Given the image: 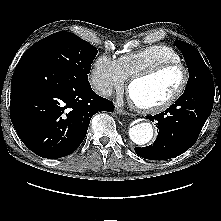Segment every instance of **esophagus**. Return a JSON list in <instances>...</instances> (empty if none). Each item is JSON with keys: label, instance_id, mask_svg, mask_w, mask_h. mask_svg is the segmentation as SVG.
Listing matches in <instances>:
<instances>
[{"label": "esophagus", "instance_id": "obj_1", "mask_svg": "<svg viewBox=\"0 0 221 221\" xmlns=\"http://www.w3.org/2000/svg\"><path fill=\"white\" fill-rule=\"evenodd\" d=\"M115 112L120 115H127L128 112L120 107L119 103L116 105Z\"/></svg>", "mask_w": 221, "mask_h": 221}]
</instances>
